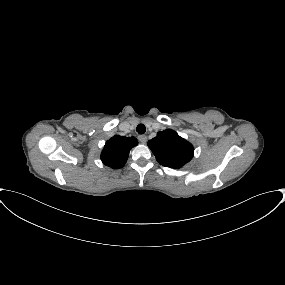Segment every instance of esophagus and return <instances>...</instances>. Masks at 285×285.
<instances>
[{
    "label": "esophagus",
    "mask_w": 285,
    "mask_h": 285,
    "mask_svg": "<svg viewBox=\"0 0 285 285\" xmlns=\"http://www.w3.org/2000/svg\"><path fill=\"white\" fill-rule=\"evenodd\" d=\"M138 139L142 144H145L147 142V137L145 135H139Z\"/></svg>",
    "instance_id": "obj_1"
}]
</instances>
